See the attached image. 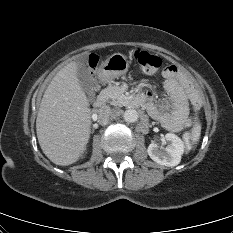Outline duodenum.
<instances>
[{
    "instance_id": "duodenum-1",
    "label": "duodenum",
    "mask_w": 233,
    "mask_h": 233,
    "mask_svg": "<svg viewBox=\"0 0 233 233\" xmlns=\"http://www.w3.org/2000/svg\"><path fill=\"white\" fill-rule=\"evenodd\" d=\"M142 101H143L142 97H137V98L134 99L135 104H139ZM105 104H106L105 95H99L97 97V99L95 100V102H94V107L96 109H102L105 106Z\"/></svg>"
}]
</instances>
